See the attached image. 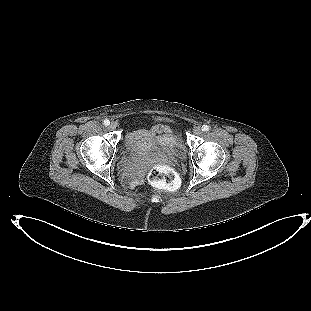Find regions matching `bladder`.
Segmentation results:
<instances>
[{
	"label": "bladder",
	"instance_id": "1",
	"mask_svg": "<svg viewBox=\"0 0 311 311\" xmlns=\"http://www.w3.org/2000/svg\"><path fill=\"white\" fill-rule=\"evenodd\" d=\"M159 121V119H157ZM166 131V140L162 143L168 145L170 143L174 146V152L177 157L184 156V145L181 137L176 130L164 129ZM152 132L146 129H136L129 131L124 138V150L129 153L140 151L145 144V149L154 150L158 147L155 142H150ZM148 142V143H147Z\"/></svg>",
	"mask_w": 311,
	"mask_h": 311
}]
</instances>
